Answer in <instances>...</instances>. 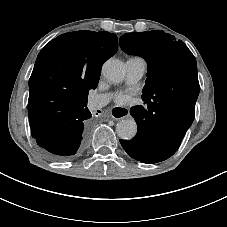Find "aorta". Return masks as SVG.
<instances>
[{
    "instance_id": "aorta-1",
    "label": "aorta",
    "mask_w": 227,
    "mask_h": 227,
    "mask_svg": "<svg viewBox=\"0 0 227 227\" xmlns=\"http://www.w3.org/2000/svg\"><path fill=\"white\" fill-rule=\"evenodd\" d=\"M125 72L124 64L115 58L105 61L102 67L103 76L113 83L123 81ZM116 131L121 139L130 140L137 133V124L133 119H123L117 123Z\"/></svg>"
}]
</instances>
